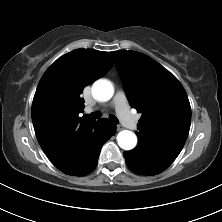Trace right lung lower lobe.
<instances>
[{
	"mask_svg": "<svg viewBox=\"0 0 222 222\" xmlns=\"http://www.w3.org/2000/svg\"><path fill=\"white\" fill-rule=\"evenodd\" d=\"M115 131V125L111 124L107 119L96 121L88 132L82 159L76 166L62 170V172L72 176H83L91 173L97 166L103 144L114 135Z\"/></svg>",
	"mask_w": 222,
	"mask_h": 222,
	"instance_id": "right-lung-lower-lobe-1",
	"label": "right lung lower lobe"
}]
</instances>
